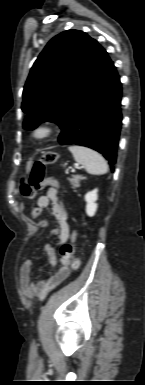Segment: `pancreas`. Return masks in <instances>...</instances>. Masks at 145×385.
Returning a JSON list of instances; mask_svg holds the SVG:
<instances>
[{"instance_id":"cf45deb5","label":"pancreas","mask_w":145,"mask_h":385,"mask_svg":"<svg viewBox=\"0 0 145 385\" xmlns=\"http://www.w3.org/2000/svg\"><path fill=\"white\" fill-rule=\"evenodd\" d=\"M82 179H83V177H81L79 175H73L72 178L69 180L71 185H72V188L73 189L78 188L80 186L79 182Z\"/></svg>"}]
</instances>
